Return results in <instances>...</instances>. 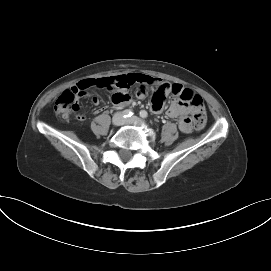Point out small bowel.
Masks as SVG:
<instances>
[{"instance_id": "small-bowel-1", "label": "small bowel", "mask_w": 271, "mask_h": 271, "mask_svg": "<svg viewBox=\"0 0 271 271\" xmlns=\"http://www.w3.org/2000/svg\"><path fill=\"white\" fill-rule=\"evenodd\" d=\"M97 85L100 89H108L111 91L112 102L119 107L126 106L132 102L131 96L128 94V88L137 85L136 95L139 99H144L148 94L149 87H156L158 90L150 102V109L154 113H161L164 109V103L167 100L166 95L176 97L166 111L170 118L179 120V129L181 132L188 134L193 130L190 115L196 113V108L181 100L184 94H192V92L177 83H166L159 78L152 77L143 73H126L112 77H102L96 80L87 79L80 81L76 86ZM93 103L98 105L100 97L94 96ZM84 119V116H79Z\"/></svg>"}]
</instances>
